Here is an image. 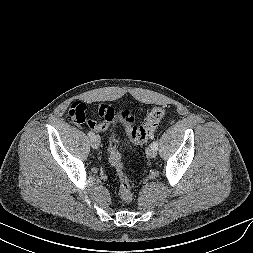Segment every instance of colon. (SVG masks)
<instances>
[{
  "mask_svg": "<svg viewBox=\"0 0 253 253\" xmlns=\"http://www.w3.org/2000/svg\"><path fill=\"white\" fill-rule=\"evenodd\" d=\"M165 115V110L162 107H154L147 114L144 122L141 125L134 124V118L127 110L119 111L114 120L121 122L126 130V133L131 141L137 144L146 142L157 129L160 121ZM68 119L77 124H90L92 119L89 117V112L86 105L76 103L71 106L68 111ZM109 163L115 170L119 179V197L129 203L133 199V192L130 181L124 171V166L121 159L119 148V140L113 133L108 144Z\"/></svg>",
  "mask_w": 253,
  "mask_h": 253,
  "instance_id": "obj_1",
  "label": "colon"
}]
</instances>
